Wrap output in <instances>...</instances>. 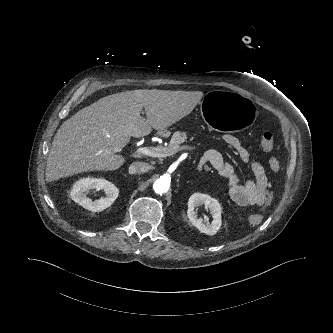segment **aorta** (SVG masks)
Masks as SVG:
<instances>
[{
    "label": "aorta",
    "instance_id": "762f6f07",
    "mask_svg": "<svg viewBox=\"0 0 333 333\" xmlns=\"http://www.w3.org/2000/svg\"><path fill=\"white\" fill-rule=\"evenodd\" d=\"M170 188V179L166 177H160L153 184V190L157 194H164L169 191Z\"/></svg>",
    "mask_w": 333,
    "mask_h": 333
}]
</instances>
